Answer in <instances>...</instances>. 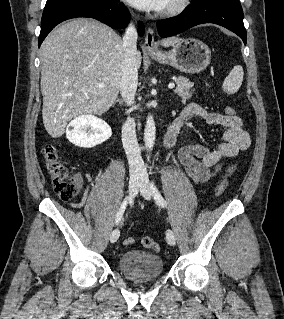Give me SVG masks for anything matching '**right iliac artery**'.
<instances>
[{
  "label": "right iliac artery",
  "instance_id": "right-iliac-artery-1",
  "mask_svg": "<svg viewBox=\"0 0 284 319\" xmlns=\"http://www.w3.org/2000/svg\"><path fill=\"white\" fill-rule=\"evenodd\" d=\"M131 201V197H126L125 200L122 202L120 208H119V211L116 215V219H115V223L118 224L121 219H122V216H123V213L128 205V203Z\"/></svg>",
  "mask_w": 284,
  "mask_h": 319
}]
</instances>
